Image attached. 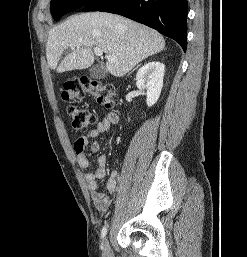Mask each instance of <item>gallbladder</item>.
Masks as SVG:
<instances>
[{"label": "gallbladder", "instance_id": "obj_1", "mask_svg": "<svg viewBox=\"0 0 247 257\" xmlns=\"http://www.w3.org/2000/svg\"><path fill=\"white\" fill-rule=\"evenodd\" d=\"M89 74L93 79H103L107 76L108 71L103 64H95L89 69Z\"/></svg>", "mask_w": 247, "mask_h": 257}]
</instances>
